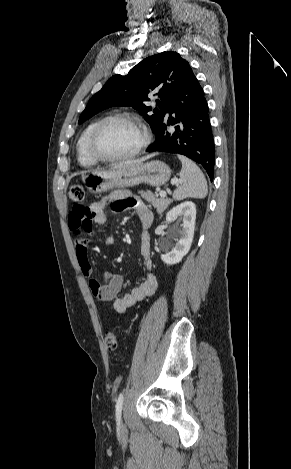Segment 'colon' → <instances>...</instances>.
Wrapping results in <instances>:
<instances>
[{"instance_id":"1","label":"colon","mask_w":291,"mask_h":469,"mask_svg":"<svg viewBox=\"0 0 291 469\" xmlns=\"http://www.w3.org/2000/svg\"><path fill=\"white\" fill-rule=\"evenodd\" d=\"M69 198L72 202L77 203L75 207L79 212H86V208L80 205V203L83 202L85 199V191L81 185L75 184L70 188ZM104 342L108 351L114 352L118 347V339L116 333L111 329L106 330L104 335Z\"/></svg>"}]
</instances>
